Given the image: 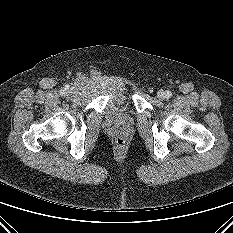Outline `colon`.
Returning a JSON list of instances; mask_svg holds the SVG:
<instances>
[{
	"mask_svg": "<svg viewBox=\"0 0 233 233\" xmlns=\"http://www.w3.org/2000/svg\"><path fill=\"white\" fill-rule=\"evenodd\" d=\"M125 143L126 142H125L124 138H122V137H118L115 139V145L118 148H123L125 146Z\"/></svg>",
	"mask_w": 233,
	"mask_h": 233,
	"instance_id": "1",
	"label": "colon"
}]
</instances>
